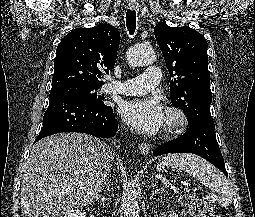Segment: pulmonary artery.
Masks as SVG:
<instances>
[{
	"instance_id": "e3ab8cb5",
	"label": "pulmonary artery",
	"mask_w": 255,
	"mask_h": 217,
	"mask_svg": "<svg viewBox=\"0 0 255 217\" xmlns=\"http://www.w3.org/2000/svg\"><path fill=\"white\" fill-rule=\"evenodd\" d=\"M160 79V69L149 67L142 74L123 82L112 80L107 87V91L123 95H141L156 87Z\"/></svg>"
}]
</instances>
